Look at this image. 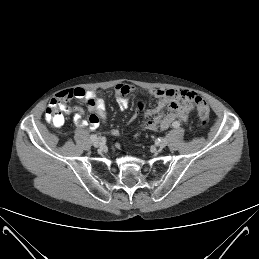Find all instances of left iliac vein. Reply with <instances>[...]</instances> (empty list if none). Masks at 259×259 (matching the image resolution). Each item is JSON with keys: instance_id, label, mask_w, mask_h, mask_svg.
I'll use <instances>...</instances> for the list:
<instances>
[{"instance_id": "4c4485c4", "label": "left iliac vein", "mask_w": 259, "mask_h": 259, "mask_svg": "<svg viewBox=\"0 0 259 259\" xmlns=\"http://www.w3.org/2000/svg\"><path fill=\"white\" fill-rule=\"evenodd\" d=\"M167 144H168V140H167L166 138H163V139L161 140L159 146H160L161 148H164V147L167 146Z\"/></svg>"}]
</instances>
